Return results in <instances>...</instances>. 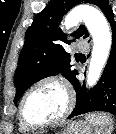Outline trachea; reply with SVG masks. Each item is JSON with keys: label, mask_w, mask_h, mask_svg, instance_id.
<instances>
[{"label": "trachea", "mask_w": 116, "mask_h": 134, "mask_svg": "<svg viewBox=\"0 0 116 134\" xmlns=\"http://www.w3.org/2000/svg\"><path fill=\"white\" fill-rule=\"evenodd\" d=\"M79 56H83V54H79Z\"/></svg>", "instance_id": "1"}]
</instances>
